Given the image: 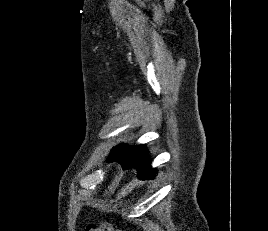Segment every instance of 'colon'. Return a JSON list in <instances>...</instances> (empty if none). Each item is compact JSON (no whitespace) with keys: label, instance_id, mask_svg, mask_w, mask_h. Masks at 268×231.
<instances>
[{"label":"colon","instance_id":"1","mask_svg":"<svg viewBox=\"0 0 268 231\" xmlns=\"http://www.w3.org/2000/svg\"><path fill=\"white\" fill-rule=\"evenodd\" d=\"M84 231H114L112 225L109 222H101L99 224H87Z\"/></svg>","mask_w":268,"mask_h":231}]
</instances>
